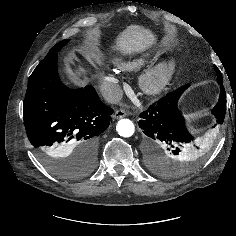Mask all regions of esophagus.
I'll list each match as a JSON object with an SVG mask.
<instances>
[{
	"label": "esophagus",
	"instance_id": "esophagus-1",
	"mask_svg": "<svg viewBox=\"0 0 236 236\" xmlns=\"http://www.w3.org/2000/svg\"><path fill=\"white\" fill-rule=\"evenodd\" d=\"M126 115H127V113H126L124 110L118 109V110L115 111L113 117H114L115 119H120V118L125 117Z\"/></svg>",
	"mask_w": 236,
	"mask_h": 236
}]
</instances>
